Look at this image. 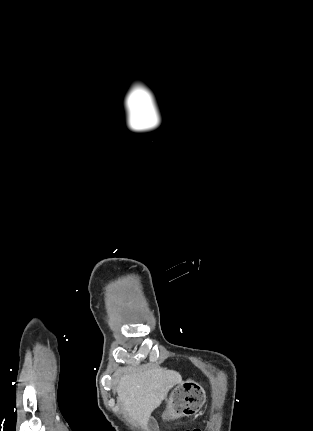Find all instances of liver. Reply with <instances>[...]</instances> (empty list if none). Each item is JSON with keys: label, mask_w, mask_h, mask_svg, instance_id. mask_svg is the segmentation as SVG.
Returning a JSON list of instances; mask_svg holds the SVG:
<instances>
[{"label": "liver", "mask_w": 313, "mask_h": 431, "mask_svg": "<svg viewBox=\"0 0 313 431\" xmlns=\"http://www.w3.org/2000/svg\"><path fill=\"white\" fill-rule=\"evenodd\" d=\"M182 382L181 375L173 370L153 368L126 372L116 388L118 400L128 414L145 429L151 413L160 406L169 390Z\"/></svg>", "instance_id": "liver-1"}]
</instances>
